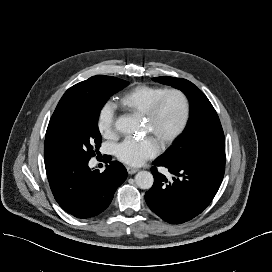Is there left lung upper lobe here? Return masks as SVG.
I'll return each instance as SVG.
<instances>
[{"mask_svg":"<svg viewBox=\"0 0 272 272\" xmlns=\"http://www.w3.org/2000/svg\"><path fill=\"white\" fill-rule=\"evenodd\" d=\"M154 81L183 91L190 101V118L184 132L159 157L168 161L225 158V139L219 117L204 93L186 79L155 77Z\"/></svg>","mask_w":272,"mask_h":272,"instance_id":"5c2ea615","label":"left lung upper lobe"}]
</instances>
